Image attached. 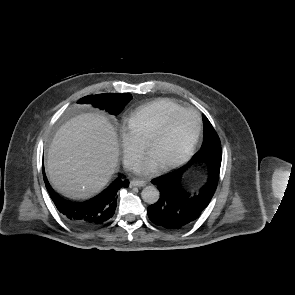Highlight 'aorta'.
Here are the masks:
<instances>
[{"instance_id": "762f6f07", "label": "aorta", "mask_w": 295, "mask_h": 295, "mask_svg": "<svg viewBox=\"0 0 295 295\" xmlns=\"http://www.w3.org/2000/svg\"><path fill=\"white\" fill-rule=\"evenodd\" d=\"M141 196L143 201L147 204H154L158 201L160 193L156 187L147 186L142 190Z\"/></svg>"}]
</instances>
